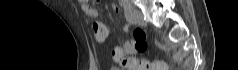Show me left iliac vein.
I'll use <instances>...</instances> for the list:
<instances>
[{"label":"left iliac vein","mask_w":238,"mask_h":70,"mask_svg":"<svg viewBox=\"0 0 238 70\" xmlns=\"http://www.w3.org/2000/svg\"><path fill=\"white\" fill-rule=\"evenodd\" d=\"M132 17H133V22L137 25H141L144 26L146 25L145 21H144V17L141 11L137 10V9H133L132 11Z\"/></svg>","instance_id":"obj_1"}]
</instances>
